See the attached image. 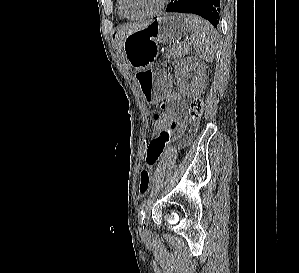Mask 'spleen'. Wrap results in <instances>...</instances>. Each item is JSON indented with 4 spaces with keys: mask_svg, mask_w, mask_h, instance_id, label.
I'll list each match as a JSON object with an SVG mask.
<instances>
[{
    "mask_svg": "<svg viewBox=\"0 0 299 273\" xmlns=\"http://www.w3.org/2000/svg\"><path fill=\"white\" fill-rule=\"evenodd\" d=\"M184 17L191 32L190 43L196 55L206 62H212L217 52V31L208 21L197 15L189 14Z\"/></svg>",
    "mask_w": 299,
    "mask_h": 273,
    "instance_id": "spleen-1",
    "label": "spleen"
}]
</instances>
